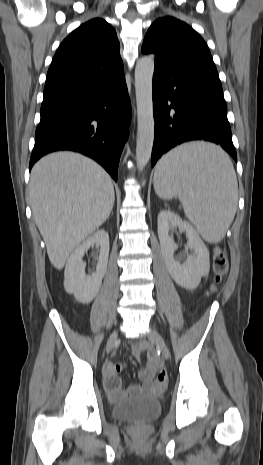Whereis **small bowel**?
Listing matches in <instances>:
<instances>
[{
  "label": "small bowel",
  "mask_w": 263,
  "mask_h": 465,
  "mask_svg": "<svg viewBox=\"0 0 263 465\" xmlns=\"http://www.w3.org/2000/svg\"><path fill=\"white\" fill-rule=\"evenodd\" d=\"M145 348L144 343H136L132 347L134 357L139 360L141 351ZM123 365L120 363L107 362L104 365V384L107 392L113 399H119L123 396L124 390L121 386V380L118 377V373L122 370ZM155 377V374L157 373ZM140 378L142 381L141 385H131L128 388L130 392H149L155 393L164 389L167 381V375L165 371L159 370L156 362L151 361L146 369L140 372Z\"/></svg>",
  "instance_id": "small-bowel-1"
}]
</instances>
